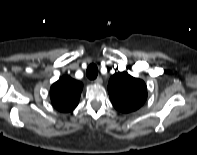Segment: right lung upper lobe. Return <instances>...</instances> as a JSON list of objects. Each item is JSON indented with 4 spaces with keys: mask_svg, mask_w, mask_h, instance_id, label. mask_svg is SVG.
I'll return each instance as SVG.
<instances>
[{
    "mask_svg": "<svg viewBox=\"0 0 197 155\" xmlns=\"http://www.w3.org/2000/svg\"><path fill=\"white\" fill-rule=\"evenodd\" d=\"M82 86L81 82L69 76L60 78L50 88L53 106L61 112L72 111L78 105Z\"/></svg>",
    "mask_w": 197,
    "mask_h": 155,
    "instance_id": "obj_1",
    "label": "right lung upper lobe"
}]
</instances>
